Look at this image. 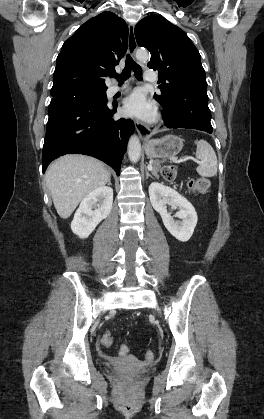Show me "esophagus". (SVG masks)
Here are the masks:
<instances>
[{
  "label": "esophagus",
  "instance_id": "34e87169",
  "mask_svg": "<svg viewBox=\"0 0 264 419\" xmlns=\"http://www.w3.org/2000/svg\"><path fill=\"white\" fill-rule=\"evenodd\" d=\"M134 28H135L134 25L129 26V36H128V53L130 57L132 58H134L135 51L137 49V42L135 38ZM134 124L140 138L142 140H146L149 137L147 127L139 120H134Z\"/></svg>",
  "mask_w": 264,
  "mask_h": 419
}]
</instances>
